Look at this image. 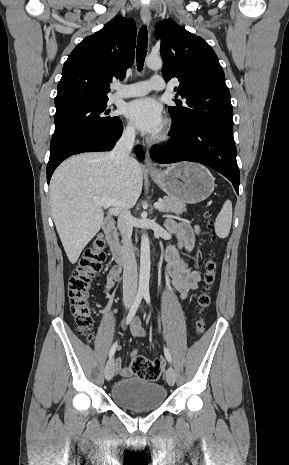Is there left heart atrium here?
Segmentation results:
<instances>
[{
  "label": "left heart atrium",
  "mask_w": 289,
  "mask_h": 465,
  "mask_svg": "<svg viewBox=\"0 0 289 465\" xmlns=\"http://www.w3.org/2000/svg\"><path fill=\"white\" fill-rule=\"evenodd\" d=\"M126 116L146 135H157L163 125L161 106L152 98H140L130 102Z\"/></svg>",
  "instance_id": "39dd6f15"
}]
</instances>
